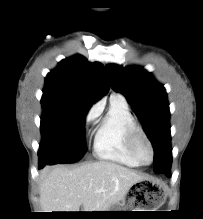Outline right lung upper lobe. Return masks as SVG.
Listing matches in <instances>:
<instances>
[{
    "instance_id": "obj_1",
    "label": "right lung upper lobe",
    "mask_w": 203,
    "mask_h": 219,
    "mask_svg": "<svg viewBox=\"0 0 203 219\" xmlns=\"http://www.w3.org/2000/svg\"><path fill=\"white\" fill-rule=\"evenodd\" d=\"M104 66L81 55L62 60L45 78L44 91L67 96L92 106L108 91Z\"/></svg>"
}]
</instances>
